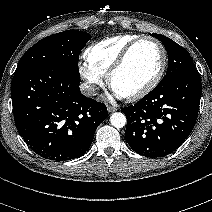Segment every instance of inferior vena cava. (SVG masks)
<instances>
[{"label": "inferior vena cava", "instance_id": "obj_1", "mask_svg": "<svg viewBox=\"0 0 212 212\" xmlns=\"http://www.w3.org/2000/svg\"><path fill=\"white\" fill-rule=\"evenodd\" d=\"M81 93L85 96H92L96 93V86L94 84L84 82L80 84Z\"/></svg>", "mask_w": 212, "mask_h": 212}]
</instances>
